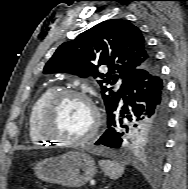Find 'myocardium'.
<instances>
[{"label":"myocardium","mask_w":188,"mask_h":189,"mask_svg":"<svg viewBox=\"0 0 188 189\" xmlns=\"http://www.w3.org/2000/svg\"><path fill=\"white\" fill-rule=\"evenodd\" d=\"M69 98H76L85 101L93 113V124L91 129L86 135L76 139L64 138L58 134H55L52 130V122L56 110L64 100ZM100 127H101V113L98 106L92 99V97L85 92L73 90V89H63L57 91L46 103L39 121V131L43 137H45L48 140L69 146L82 145L91 141L97 136Z\"/></svg>","instance_id":"obj_1"}]
</instances>
